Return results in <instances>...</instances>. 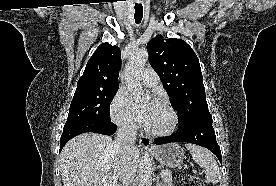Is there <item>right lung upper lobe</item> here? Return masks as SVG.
<instances>
[{
    "label": "right lung upper lobe",
    "instance_id": "obj_1",
    "mask_svg": "<svg viewBox=\"0 0 276 186\" xmlns=\"http://www.w3.org/2000/svg\"><path fill=\"white\" fill-rule=\"evenodd\" d=\"M121 54L117 46L103 43L89 59L77 89L119 87Z\"/></svg>",
    "mask_w": 276,
    "mask_h": 186
}]
</instances>
